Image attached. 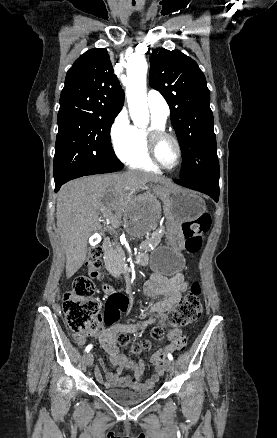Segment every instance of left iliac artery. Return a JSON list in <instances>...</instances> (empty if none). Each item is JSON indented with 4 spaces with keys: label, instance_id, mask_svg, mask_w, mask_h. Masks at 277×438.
<instances>
[{
    "label": "left iliac artery",
    "instance_id": "1",
    "mask_svg": "<svg viewBox=\"0 0 277 438\" xmlns=\"http://www.w3.org/2000/svg\"><path fill=\"white\" fill-rule=\"evenodd\" d=\"M167 356H168V359H169V360H171V361L173 360V356H172V354L168 353Z\"/></svg>",
    "mask_w": 277,
    "mask_h": 438
}]
</instances>
